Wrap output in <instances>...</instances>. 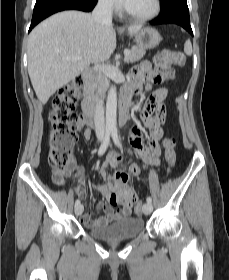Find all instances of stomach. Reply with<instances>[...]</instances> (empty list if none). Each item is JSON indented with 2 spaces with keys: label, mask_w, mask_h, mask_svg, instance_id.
I'll use <instances>...</instances> for the list:
<instances>
[{
  "label": "stomach",
  "mask_w": 229,
  "mask_h": 280,
  "mask_svg": "<svg viewBox=\"0 0 229 280\" xmlns=\"http://www.w3.org/2000/svg\"><path fill=\"white\" fill-rule=\"evenodd\" d=\"M134 39L142 49H152L159 45L162 38L159 32L151 27H145L134 34Z\"/></svg>",
  "instance_id": "1"
}]
</instances>
